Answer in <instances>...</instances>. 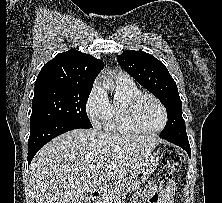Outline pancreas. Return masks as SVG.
<instances>
[{
    "label": "pancreas",
    "mask_w": 222,
    "mask_h": 203,
    "mask_svg": "<svg viewBox=\"0 0 222 203\" xmlns=\"http://www.w3.org/2000/svg\"><path fill=\"white\" fill-rule=\"evenodd\" d=\"M120 194H122V188L120 184H114L108 190V197L109 200L113 201L114 199L120 198ZM105 203H112V202H105Z\"/></svg>",
    "instance_id": "obj_1"
}]
</instances>
